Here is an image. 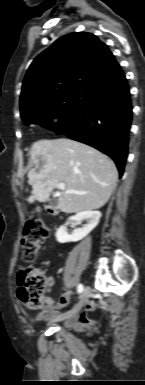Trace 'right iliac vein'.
Here are the masks:
<instances>
[{
	"mask_svg": "<svg viewBox=\"0 0 145 385\" xmlns=\"http://www.w3.org/2000/svg\"><path fill=\"white\" fill-rule=\"evenodd\" d=\"M89 296H90V288L86 287L81 294L80 302H79L78 306L74 310H71L67 313L62 314V316L60 317V320L66 319V318L70 317L71 315L75 314L88 301Z\"/></svg>",
	"mask_w": 145,
	"mask_h": 385,
	"instance_id": "1",
	"label": "right iliac vein"
}]
</instances>
